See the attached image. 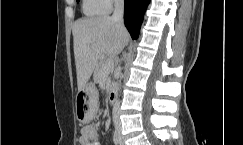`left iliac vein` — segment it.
Returning <instances> with one entry per match:
<instances>
[{
    "label": "left iliac vein",
    "mask_w": 243,
    "mask_h": 145,
    "mask_svg": "<svg viewBox=\"0 0 243 145\" xmlns=\"http://www.w3.org/2000/svg\"><path fill=\"white\" fill-rule=\"evenodd\" d=\"M119 144L120 145H125L124 139H123L122 134H121L120 131H119Z\"/></svg>",
    "instance_id": "4c4485c4"
}]
</instances>
